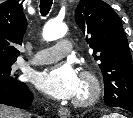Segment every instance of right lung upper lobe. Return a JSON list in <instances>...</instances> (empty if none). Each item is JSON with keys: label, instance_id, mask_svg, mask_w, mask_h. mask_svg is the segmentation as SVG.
<instances>
[{"label": "right lung upper lobe", "instance_id": "cb5924a9", "mask_svg": "<svg viewBox=\"0 0 133 118\" xmlns=\"http://www.w3.org/2000/svg\"><path fill=\"white\" fill-rule=\"evenodd\" d=\"M27 21L22 7L16 1L7 0L0 4V62H16Z\"/></svg>", "mask_w": 133, "mask_h": 118}]
</instances>
